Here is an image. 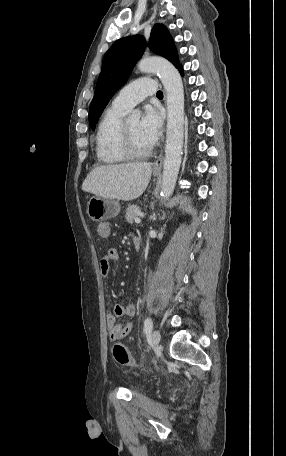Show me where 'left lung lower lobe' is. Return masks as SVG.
Listing matches in <instances>:
<instances>
[{"instance_id": "0a47b994", "label": "left lung lower lobe", "mask_w": 286, "mask_h": 456, "mask_svg": "<svg viewBox=\"0 0 286 456\" xmlns=\"http://www.w3.org/2000/svg\"><path fill=\"white\" fill-rule=\"evenodd\" d=\"M176 68H178L179 72H180L181 74H183V67H182V65H179V66L176 67Z\"/></svg>"}]
</instances>
